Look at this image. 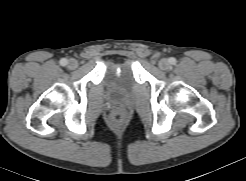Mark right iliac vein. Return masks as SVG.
<instances>
[{
	"instance_id": "63e3f726",
	"label": "right iliac vein",
	"mask_w": 246,
	"mask_h": 181,
	"mask_svg": "<svg viewBox=\"0 0 246 181\" xmlns=\"http://www.w3.org/2000/svg\"><path fill=\"white\" fill-rule=\"evenodd\" d=\"M67 67L71 70L76 69L78 67V61L76 59H70L67 63Z\"/></svg>"
}]
</instances>
